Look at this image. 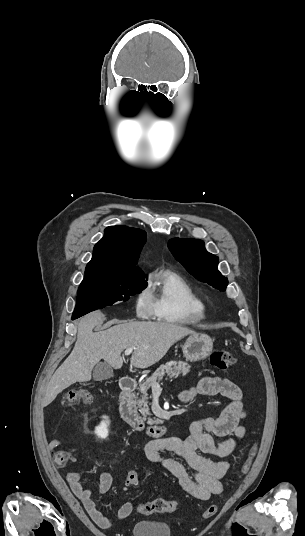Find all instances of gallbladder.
<instances>
[{
	"instance_id": "1",
	"label": "gallbladder",
	"mask_w": 305,
	"mask_h": 536,
	"mask_svg": "<svg viewBox=\"0 0 305 536\" xmlns=\"http://www.w3.org/2000/svg\"><path fill=\"white\" fill-rule=\"evenodd\" d=\"M112 376L113 370L109 364H106V362H99V364H96L93 370V378L96 380V382L108 380V378H112Z\"/></svg>"
}]
</instances>
